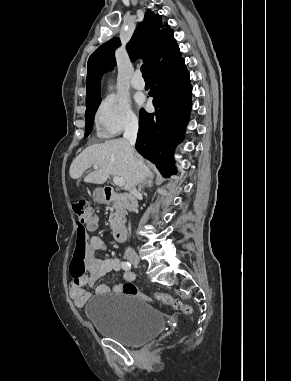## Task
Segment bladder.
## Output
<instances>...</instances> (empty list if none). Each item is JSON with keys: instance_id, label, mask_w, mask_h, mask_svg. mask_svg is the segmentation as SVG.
I'll use <instances>...</instances> for the list:
<instances>
[{"instance_id": "1", "label": "bladder", "mask_w": 291, "mask_h": 381, "mask_svg": "<svg viewBox=\"0 0 291 381\" xmlns=\"http://www.w3.org/2000/svg\"><path fill=\"white\" fill-rule=\"evenodd\" d=\"M85 314L100 335L127 346L145 344L165 327L162 314L147 301L120 292L91 297Z\"/></svg>"}]
</instances>
